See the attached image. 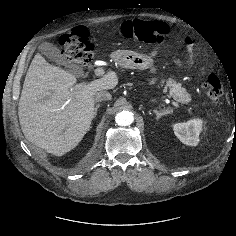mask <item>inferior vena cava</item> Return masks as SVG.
<instances>
[{
	"label": "inferior vena cava",
	"mask_w": 236,
	"mask_h": 236,
	"mask_svg": "<svg viewBox=\"0 0 236 236\" xmlns=\"http://www.w3.org/2000/svg\"><path fill=\"white\" fill-rule=\"evenodd\" d=\"M111 98H112L111 94L106 90H100L95 94V100L98 102L111 100Z\"/></svg>",
	"instance_id": "inferior-vena-cava-1"
}]
</instances>
